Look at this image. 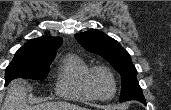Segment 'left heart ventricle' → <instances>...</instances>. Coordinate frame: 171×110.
<instances>
[{"label":"left heart ventricle","mask_w":171,"mask_h":110,"mask_svg":"<svg viewBox=\"0 0 171 110\" xmlns=\"http://www.w3.org/2000/svg\"><path fill=\"white\" fill-rule=\"evenodd\" d=\"M93 86L97 94L102 97L110 96L113 92V83L110 77L103 72L94 75Z\"/></svg>","instance_id":"obj_1"}]
</instances>
